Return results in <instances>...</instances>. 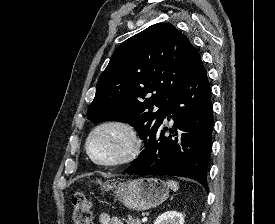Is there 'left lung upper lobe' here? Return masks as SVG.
Returning <instances> with one entry per match:
<instances>
[{
    "label": "left lung upper lobe",
    "mask_w": 275,
    "mask_h": 224,
    "mask_svg": "<svg viewBox=\"0 0 275 224\" xmlns=\"http://www.w3.org/2000/svg\"><path fill=\"white\" fill-rule=\"evenodd\" d=\"M202 66L184 34L172 24H154L113 53L98 80L87 118L128 122L146 142L163 122L171 97Z\"/></svg>",
    "instance_id": "5c2ea615"
}]
</instances>
